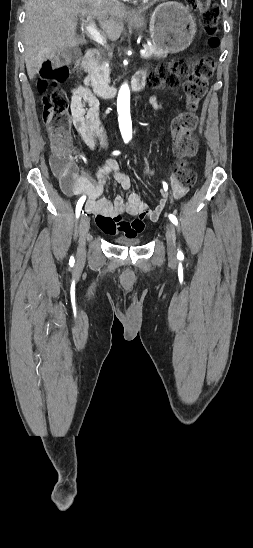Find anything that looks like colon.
Wrapping results in <instances>:
<instances>
[{
    "label": "colon",
    "mask_w": 253,
    "mask_h": 548,
    "mask_svg": "<svg viewBox=\"0 0 253 548\" xmlns=\"http://www.w3.org/2000/svg\"><path fill=\"white\" fill-rule=\"evenodd\" d=\"M201 15L208 44H218L216 36L219 12L212 0H187ZM215 63L210 58H201L188 63L175 59L157 68L149 77L151 87H177L183 82L186 95L185 111L178 114L172 123V134L176 140V154L179 158L192 156L197 149L192 134L196 124V111L205 97L208 83L212 77ZM69 75L67 57L45 61L40 69L37 81L38 90L43 95L42 119L52 138L51 167L55 175L63 182L68 181L75 173L71 159V138L69 135V102L66 94L59 90V85ZM142 162L143 177L153 179L157 171ZM173 176L184 186H192L196 181L195 172L183 161L175 165Z\"/></svg>",
    "instance_id": "5ec220e1"
}]
</instances>
